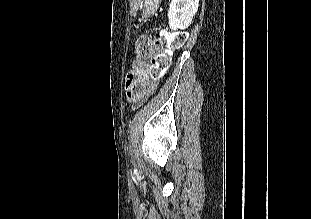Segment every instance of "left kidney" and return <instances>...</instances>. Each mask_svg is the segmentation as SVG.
Here are the masks:
<instances>
[{
	"label": "left kidney",
	"mask_w": 311,
	"mask_h": 219,
	"mask_svg": "<svg viewBox=\"0 0 311 219\" xmlns=\"http://www.w3.org/2000/svg\"><path fill=\"white\" fill-rule=\"evenodd\" d=\"M199 6V0H171L168 10L171 30L186 29L192 22Z\"/></svg>",
	"instance_id": "obj_1"
}]
</instances>
